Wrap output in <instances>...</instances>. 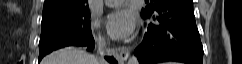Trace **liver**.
<instances>
[{
    "label": "liver",
    "instance_id": "obj_1",
    "mask_svg": "<svg viewBox=\"0 0 242 64\" xmlns=\"http://www.w3.org/2000/svg\"><path fill=\"white\" fill-rule=\"evenodd\" d=\"M41 64H100V60L80 49L66 47L47 55Z\"/></svg>",
    "mask_w": 242,
    "mask_h": 64
}]
</instances>
